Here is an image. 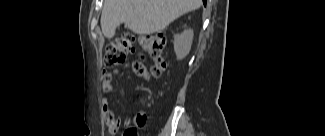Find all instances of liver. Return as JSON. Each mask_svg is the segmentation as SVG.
<instances>
[{"instance_id":"obj_1","label":"liver","mask_w":325,"mask_h":136,"mask_svg":"<svg viewBox=\"0 0 325 136\" xmlns=\"http://www.w3.org/2000/svg\"><path fill=\"white\" fill-rule=\"evenodd\" d=\"M201 4L202 0H105L100 20L102 32L111 39L116 28L124 24L136 34H152Z\"/></svg>"}]
</instances>
